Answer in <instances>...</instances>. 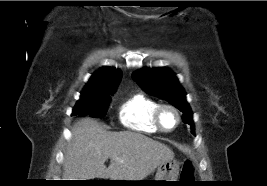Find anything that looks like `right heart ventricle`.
Segmentation results:
<instances>
[{
	"instance_id": "1",
	"label": "right heart ventricle",
	"mask_w": 267,
	"mask_h": 186,
	"mask_svg": "<svg viewBox=\"0 0 267 186\" xmlns=\"http://www.w3.org/2000/svg\"><path fill=\"white\" fill-rule=\"evenodd\" d=\"M159 102L143 93H136L125 100L119 108L120 123L136 132L155 134L159 130L154 124L153 114Z\"/></svg>"
}]
</instances>
